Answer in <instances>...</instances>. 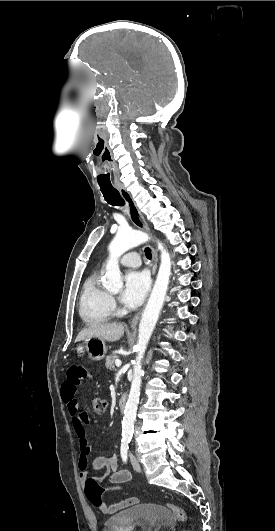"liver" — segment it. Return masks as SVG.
Returning <instances> with one entry per match:
<instances>
[{
    "label": "liver",
    "instance_id": "6515ba94",
    "mask_svg": "<svg viewBox=\"0 0 275 531\" xmlns=\"http://www.w3.org/2000/svg\"><path fill=\"white\" fill-rule=\"evenodd\" d=\"M125 331L124 325L122 323H92L88 325L87 329H82L78 333L75 343L78 341H86V339H91V337H98L102 341H119L123 337Z\"/></svg>",
    "mask_w": 275,
    "mask_h": 531
}]
</instances>
